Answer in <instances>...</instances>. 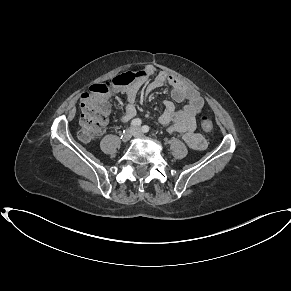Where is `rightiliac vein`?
<instances>
[{
	"label": "right iliac vein",
	"mask_w": 291,
	"mask_h": 291,
	"mask_svg": "<svg viewBox=\"0 0 291 291\" xmlns=\"http://www.w3.org/2000/svg\"><path fill=\"white\" fill-rule=\"evenodd\" d=\"M135 132H136L135 128L127 129L122 136V141L123 142L129 141L131 139V137L135 135Z\"/></svg>",
	"instance_id": "right-iliac-vein-1"
}]
</instances>
